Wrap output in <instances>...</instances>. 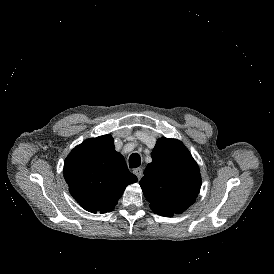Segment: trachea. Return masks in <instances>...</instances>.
Returning <instances> with one entry per match:
<instances>
[{
  "mask_svg": "<svg viewBox=\"0 0 274 274\" xmlns=\"http://www.w3.org/2000/svg\"><path fill=\"white\" fill-rule=\"evenodd\" d=\"M141 165V157L137 153H133L129 158V167L136 168Z\"/></svg>",
  "mask_w": 274,
  "mask_h": 274,
  "instance_id": "3493384b",
  "label": "trachea"
}]
</instances>
